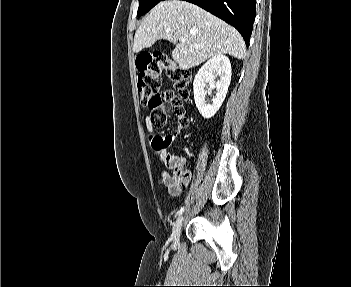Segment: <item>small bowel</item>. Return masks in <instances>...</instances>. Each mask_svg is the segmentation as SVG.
Listing matches in <instances>:
<instances>
[{"label":"small bowel","mask_w":351,"mask_h":287,"mask_svg":"<svg viewBox=\"0 0 351 287\" xmlns=\"http://www.w3.org/2000/svg\"><path fill=\"white\" fill-rule=\"evenodd\" d=\"M188 119V118H187ZM144 123L147 131L149 132L148 141L150 142V147L153 152H156V156L162 165L167 167H180L185 164V159L180 156H174L165 151V148H171V143L175 140L178 132L184 127L178 123L177 130L174 133L168 134L166 136H159L158 132L152 125L150 117H145ZM161 183L169 189V192L173 196L179 194V189L177 188V182L175 178L167 171L161 172L160 177Z\"/></svg>","instance_id":"obj_1"}]
</instances>
